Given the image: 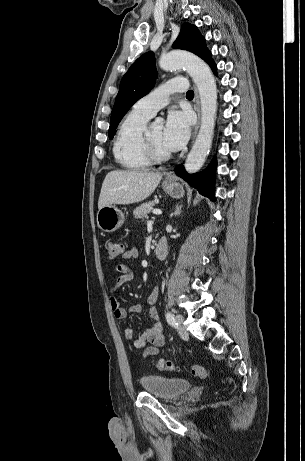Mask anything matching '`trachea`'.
Here are the masks:
<instances>
[{"instance_id":"trachea-1","label":"trachea","mask_w":305,"mask_h":461,"mask_svg":"<svg viewBox=\"0 0 305 461\" xmlns=\"http://www.w3.org/2000/svg\"><path fill=\"white\" fill-rule=\"evenodd\" d=\"M186 97H194V92L192 90L187 91Z\"/></svg>"}]
</instances>
